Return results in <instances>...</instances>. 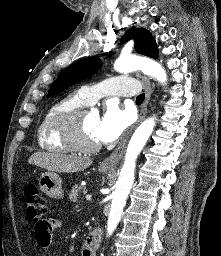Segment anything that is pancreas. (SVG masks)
<instances>
[{
    "label": "pancreas",
    "mask_w": 221,
    "mask_h": 256,
    "mask_svg": "<svg viewBox=\"0 0 221 256\" xmlns=\"http://www.w3.org/2000/svg\"><path fill=\"white\" fill-rule=\"evenodd\" d=\"M82 193H84V191L81 186H78V185L73 186L69 193V201H72L75 203L80 202L79 198L81 197Z\"/></svg>",
    "instance_id": "obj_1"
}]
</instances>
